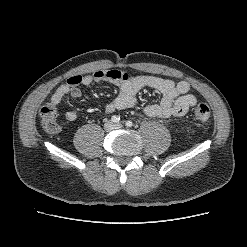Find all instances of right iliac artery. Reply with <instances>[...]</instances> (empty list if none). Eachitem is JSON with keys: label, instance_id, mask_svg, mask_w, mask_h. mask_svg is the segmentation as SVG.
<instances>
[{"label": "right iliac artery", "instance_id": "right-iliac-artery-1", "mask_svg": "<svg viewBox=\"0 0 247 247\" xmlns=\"http://www.w3.org/2000/svg\"><path fill=\"white\" fill-rule=\"evenodd\" d=\"M111 121L114 123H118L120 121V117L117 115H114L111 117Z\"/></svg>", "mask_w": 247, "mask_h": 247}]
</instances>
